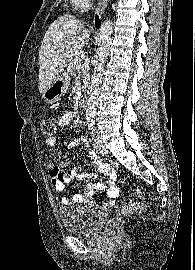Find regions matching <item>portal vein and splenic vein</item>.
Listing matches in <instances>:
<instances>
[{
  "mask_svg": "<svg viewBox=\"0 0 195 270\" xmlns=\"http://www.w3.org/2000/svg\"><path fill=\"white\" fill-rule=\"evenodd\" d=\"M75 58L78 61L84 60L85 59V53L83 51H77L75 52Z\"/></svg>",
  "mask_w": 195,
  "mask_h": 270,
  "instance_id": "obj_1",
  "label": "portal vein and splenic vein"
}]
</instances>
